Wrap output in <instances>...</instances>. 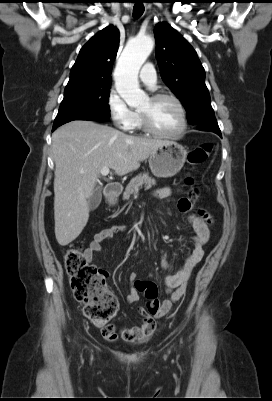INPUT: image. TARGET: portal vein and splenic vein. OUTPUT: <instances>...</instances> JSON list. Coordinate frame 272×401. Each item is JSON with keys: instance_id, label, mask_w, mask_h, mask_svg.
<instances>
[{"instance_id": "1", "label": "portal vein and splenic vein", "mask_w": 272, "mask_h": 401, "mask_svg": "<svg viewBox=\"0 0 272 401\" xmlns=\"http://www.w3.org/2000/svg\"><path fill=\"white\" fill-rule=\"evenodd\" d=\"M100 173H101V175H103V176H107V175L110 173V169H109L108 167H103V168L100 170Z\"/></svg>"}]
</instances>
